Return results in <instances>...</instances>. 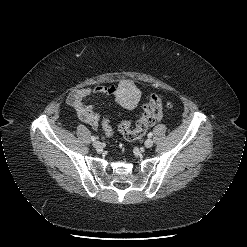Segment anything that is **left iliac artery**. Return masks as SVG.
I'll return each mask as SVG.
<instances>
[{
	"label": "left iliac artery",
	"instance_id": "1",
	"mask_svg": "<svg viewBox=\"0 0 247 247\" xmlns=\"http://www.w3.org/2000/svg\"><path fill=\"white\" fill-rule=\"evenodd\" d=\"M153 136V133L152 132H149L148 133V137L151 138Z\"/></svg>",
	"mask_w": 247,
	"mask_h": 247
}]
</instances>
